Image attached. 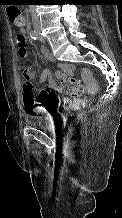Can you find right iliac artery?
Here are the masks:
<instances>
[{
    "label": "right iliac artery",
    "instance_id": "1",
    "mask_svg": "<svg viewBox=\"0 0 122 218\" xmlns=\"http://www.w3.org/2000/svg\"><path fill=\"white\" fill-rule=\"evenodd\" d=\"M30 37L34 40H37L38 39V34L35 32V31H31L30 33Z\"/></svg>",
    "mask_w": 122,
    "mask_h": 218
}]
</instances>
